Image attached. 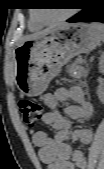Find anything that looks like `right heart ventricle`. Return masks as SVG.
Listing matches in <instances>:
<instances>
[{"instance_id": "obj_1", "label": "right heart ventricle", "mask_w": 104, "mask_h": 169, "mask_svg": "<svg viewBox=\"0 0 104 169\" xmlns=\"http://www.w3.org/2000/svg\"><path fill=\"white\" fill-rule=\"evenodd\" d=\"M41 27H42V24L39 23L33 15H31L30 19H29V29L30 30H38Z\"/></svg>"}]
</instances>
